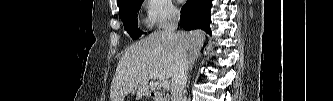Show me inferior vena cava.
Returning a JSON list of instances; mask_svg holds the SVG:
<instances>
[{
	"instance_id": "inferior-vena-cava-1",
	"label": "inferior vena cava",
	"mask_w": 333,
	"mask_h": 101,
	"mask_svg": "<svg viewBox=\"0 0 333 101\" xmlns=\"http://www.w3.org/2000/svg\"><path fill=\"white\" fill-rule=\"evenodd\" d=\"M180 12L169 14L168 19L160 24V28L172 39L175 49V66L171 80V101H184V87L188 78V56L186 49L178 39L175 31L178 27Z\"/></svg>"
}]
</instances>
